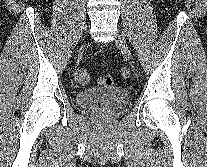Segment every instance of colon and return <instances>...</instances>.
<instances>
[{"label":"colon","instance_id":"colon-1","mask_svg":"<svg viewBox=\"0 0 207 167\" xmlns=\"http://www.w3.org/2000/svg\"><path fill=\"white\" fill-rule=\"evenodd\" d=\"M131 72L128 68L123 67L121 69V76L124 78L130 77ZM74 78L79 84H87L89 82V73L85 68H78L74 73ZM100 85L105 87H112L115 83L114 78L111 75H104L98 79Z\"/></svg>","mask_w":207,"mask_h":167}]
</instances>
